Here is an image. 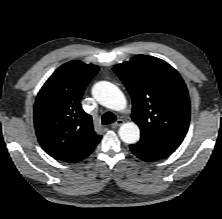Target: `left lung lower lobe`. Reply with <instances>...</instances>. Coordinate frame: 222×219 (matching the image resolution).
<instances>
[{"label": "left lung lower lobe", "mask_w": 222, "mask_h": 219, "mask_svg": "<svg viewBox=\"0 0 222 219\" xmlns=\"http://www.w3.org/2000/svg\"><path fill=\"white\" fill-rule=\"evenodd\" d=\"M175 147L165 145L147 138H141L136 144L130 145V150L139 159L155 161L169 156L175 151Z\"/></svg>", "instance_id": "1"}]
</instances>
